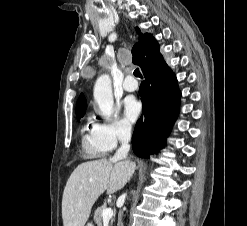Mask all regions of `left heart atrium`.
I'll return each instance as SVG.
<instances>
[{"mask_svg": "<svg viewBox=\"0 0 247 226\" xmlns=\"http://www.w3.org/2000/svg\"><path fill=\"white\" fill-rule=\"evenodd\" d=\"M140 113L139 104L133 100L128 99L124 103V115L129 122H134Z\"/></svg>", "mask_w": 247, "mask_h": 226, "instance_id": "left-heart-atrium-1", "label": "left heart atrium"}]
</instances>
